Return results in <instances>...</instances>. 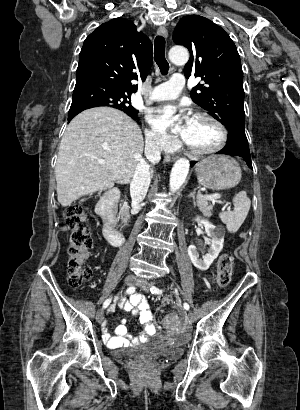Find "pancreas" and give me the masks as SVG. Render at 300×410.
<instances>
[{
	"instance_id": "cf45deb5",
	"label": "pancreas",
	"mask_w": 300,
	"mask_h": 410,
	"mask_svg": "<svg viewBox=\"0 0 300 410\" xmlns=\"http://www.w3.org/2000/svg\"><path fill=\"white\" fill-rule=\"evenodd\" d=\"M199 210L204 214L206 217H211L212 216V206L209 204V202L205 199H198L197 202ZM128 219V214L125 215L124 223H127Z\"/></svg>"
}]
</instances>
